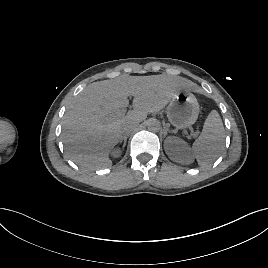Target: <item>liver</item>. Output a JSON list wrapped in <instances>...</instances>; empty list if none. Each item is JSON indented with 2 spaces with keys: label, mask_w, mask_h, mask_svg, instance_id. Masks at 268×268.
<instances>
[{
  "label": "liver",
  "mask_w": 268,
  "mask_h": 268,
  "mask_svg": "<svg viewBox=\"0 0 268 268\" xmlns=\"http://www.w3.org/2000/svg\"><path fill=\"white\" fill-rule=\"evenodd\" d=\"M190 83L168 75L129 76L94 82L85 87L67 106L62 122V139L70 159L87 169L112 165L110 150L122 138L126 122L138 125L150 113L162 110ZM133 96V110H124Z\"/></svg>",
  "instance_id": "6515ba94"
}]
</instances>
